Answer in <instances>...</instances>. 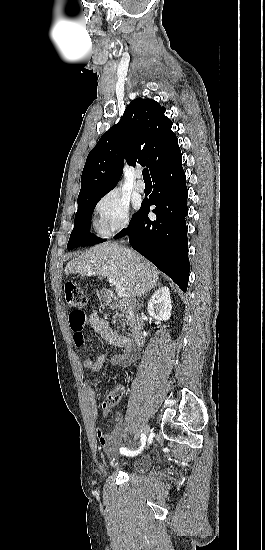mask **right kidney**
I'll list each match as a JSON object with an SVG mask.
<instances>
[{"label":"right kidney","instance_id":"ca27d5eb","mask_svg":"<svg viewBox=\"0 0 265 550\" xmlns=\"http://www.w3.org/2000/svg\"><path fill=\"white\" fill-rule=\"evenodd\" d=\"M147 310L151 316L158 320L167 321L170 319L172 305L168 287H161L152 295Z\"/></svg>","mask_w":265,"mask_h":550}]
</instances>
